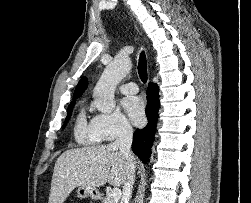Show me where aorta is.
<instances>
[{
    "label": "aorta",
    "instance_id": "1",
    "mask_svg": "<svg viewBox=\"0 0 251 203\" xmlns=\"http://www.w3.org/2000/svg\"><path fill=\"white\" fill-rule=\"evenodd\" d=\"M131 67L128 58H116L106 66L94 89L95 104L100 112L111 113L114 110L115 89Z\"/></svg>",
    "mask_w": 251,
    "mask_h": 203
}]
</instances>
